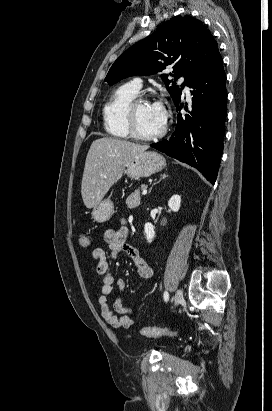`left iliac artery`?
Returning a JSON list of instances; mask_svg holds the SVG:
<instances>
[{
	"instance_id": "left-iliac-artery-1",
	"label": "left iliac artery",
	"mask_w": 272,
	"mask_h": 411,
	"mask_svg": "<svg viewBox=\"0 0 272 411\" xmlns=\"http://www.w3.org/2000/svg\"><path fill=\"white\" fill-rule=\"evenodd\" d=\"M169 299V294L167 291L164 292V300L167 302Z\"/></svg>"
}]
</instances>
